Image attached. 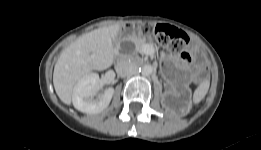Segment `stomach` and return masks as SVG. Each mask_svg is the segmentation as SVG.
Returning a JSON list of instances; mask_svg holds the SVG:
<instances>
[{
    "label": "stomach",
    "instance_id": "stomach-1",
    "mask_svg": "<svg viewBox=\"0 0 261 150\" xmlns=\"http://www.w3.org/2000/svg\"><path fill=\"white\" fill-rule=\"evenodd\" d=\"M131 38H135L136 37V31L133 29L132 33H131Z\"/></svg>",
    "mask_w": 261,
    "mask_h": 150
}]
</instances>
